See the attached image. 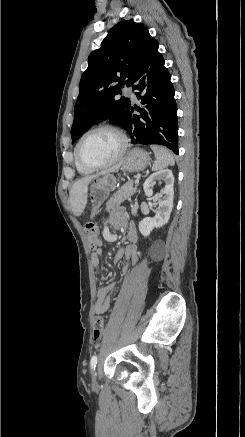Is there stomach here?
<instances>
[{"label":"stomach","instance_id":"1","mask_svg":"<svg viewBox=\"0 0 245 437\" xmlns=\"http://www.w3.org/2000/svg\"><path fill=\"white\" fill-rule=\"evenodd\" d=\"M149 163L150 157L146 151L140 148H133L127 153L121 168L128 172H140L144 170ZM115 186L116 178L111 172L93 179L88 188L93 213H95L108 198L109 193L115 189Z\"/></svg>","mask_w":245,"mask_h":437}]
</instances>
